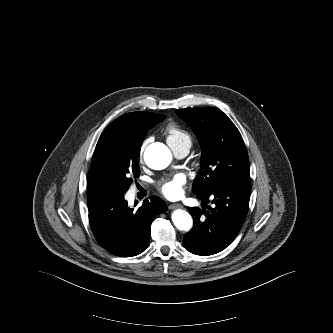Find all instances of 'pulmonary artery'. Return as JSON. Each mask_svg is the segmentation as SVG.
<instances>
[{
    "label": "pulmonary artery",
    "instance_id": "pulmonary-artery-1",
    "mask_svg": "<svg viewBox=\"0 0 333 333\" xmlns=\"http://www.w3.org/2000/svg\"><path fill=\"white\" fill-rule=\"evenodd\" d=\"M189 149H190L189 147L184 146V147L176 148L173 151H174V154L176 157L184 158L188 154Z\"/></svg>",
    "mask_w": 333,
    "mask_h": 333
}]
</instances>
